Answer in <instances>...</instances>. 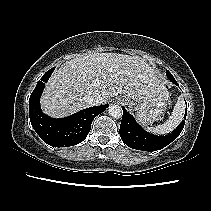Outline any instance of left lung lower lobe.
<instances>
[{
  "label": "left lung lower lobe",
  "instance_id": "0a47b994",
  "mask_svg": "<svg viewBox=\"0 0 211 211\" xmlns=\"http://www.w3.org/2000/svg\"><path fill=\"white\" fill-rule=\"evenodd\" d=\"M171 81L178 85L174 78H172ZM122 109L123 116L120 125V137L128 147L137 150L157 151L164 148L177 138L185 124V121H182L172 134L167 136H156L141 128L134 117L129 114L124 107H122ZM186 114L187 111L184 116L185 119Z\"/></svg>",
  "mask_w": 211,
  "mask_h": 211
}]
</instances>
